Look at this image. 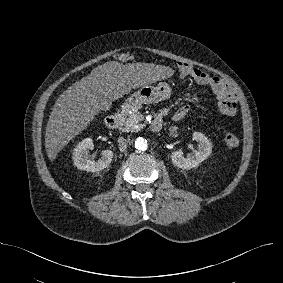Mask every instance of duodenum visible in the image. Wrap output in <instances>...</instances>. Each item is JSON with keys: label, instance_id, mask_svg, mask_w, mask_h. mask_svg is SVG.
<instances>
[{"label": "duodenum", "instance_id": "duodenum-1", "mask_svg": "<svg viewBox=\"0 0 283 283\" xmlns=\"http://www.w3.org/2000/svg\"><path fill=\"white\" fill-rule=\"evenodd\" d=\"M121 122V114H114L106 118V126L111 129H116ZM151 130L158 132L162 128V119L157 117L150 125Z\"/></svg>", "mask_w": 283, "mask_h": 283}]
</instances>
